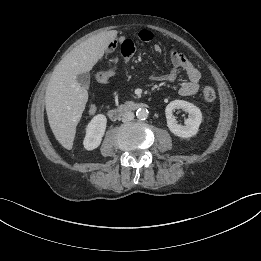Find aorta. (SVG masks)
Segmentation results:
<instances>
[{
  "label": "aorta",
  "instance_id": "1",
  "mask_svg": "<svg viewBox=\"0 0 261 261\" xmlns=\"http://www.w3.org/2000/svg\"><path fill=\"white\" fill-rule=\"evenodd\" d=\"M148 114H149V112H148V110L146 108H139L136 111V116L140 120L147 119L148 118Z\"/></svg>",
  "mask_w": 261,
  "mask_h": 261
}]
</instances>
